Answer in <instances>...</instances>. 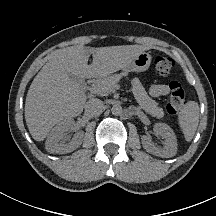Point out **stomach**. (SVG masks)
I'll return each mask as SVG.
<instances>
[{
	"label": "stomach",
	"instance_id": "stomach-1",
	"mask_svg": "<svg viewBox=\"0 0 216 216\" xmlns=\"http://www.w3.org/2000/svg\"><path fill=\"white\" fill-rule=\"evenodd\" d=\"M151 55L146 52H141L123 70L126 72H143L146 71L151 64Z\"/></svg>",
	"mask_w": 216,
	"mask_h": 216
}]
</instances>
